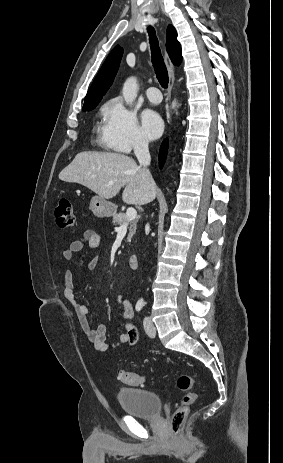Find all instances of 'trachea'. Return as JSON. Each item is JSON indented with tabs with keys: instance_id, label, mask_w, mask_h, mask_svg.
I'll use <instances>...</instances> for the list:
<instances>
[{
	"instance_id": "1",
	"label": "trachea",
	"mask_w": 283,
	"mask_h": 463,
	"mask_svg": "<svg viewBox=\"0 0 283 463\" xmlns=\"http://www.w3.org/2000/svg\"><path fill=\"white\" fill-rule=\"evenodd\" d=\"M149 33V42L151 47V54H152V63L155 69L156 77L163 88L168 87V72L167 68L164 64L163 57L161 54V50L159 48L158 39L155 34V29L153 27L148 28Z\"/></svg>"
}]
</instances>
